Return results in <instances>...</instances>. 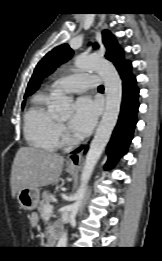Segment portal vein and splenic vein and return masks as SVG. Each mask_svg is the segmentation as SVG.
Instances as JSON below:
<instances>
[{
	"label": "portal vein and splenic vein",
	"instance_id": "18ae733b",
	"mask_svg": "<svg viewBox=\"0 0 162 261\" xmlns=\"http://www.w3.org/2000/svg\"><path fill=\"white\" fill-rule=\"evenodd\" d=\"M53 210V206L50 204H46L44 206V214H50Z\"/></svg>",
	"mask_w": 162,
	"mask_h": 261
}]
</instances>
